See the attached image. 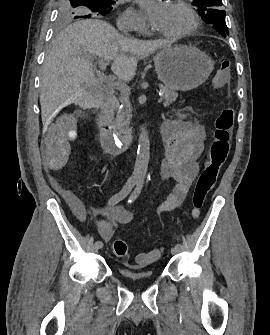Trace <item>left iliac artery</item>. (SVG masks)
<instances>
[{"label":"left iliac artery","mask_w":270,"mask_h":335,"mask_svg":"<svg viewBox=\"0 0 270 335\" xmlns=\"http://www.w3.org/2000/svg\"><path fill=\"white\" fill-rule=\"evenodd\" d=\"M142 185H143V181H142V180H139V181L137 182V186H136L135 190L133 191V193L130 195V197H129V199H128V203H129V204L133 203V202L136 200V198L139 196V194H140V192H141V189H142ZM175 247H176L177 249H179V250L182 249V245L179 244V243H177V244L175 245Z\"/></svg>","instance_id":"1"}]
</instances>
